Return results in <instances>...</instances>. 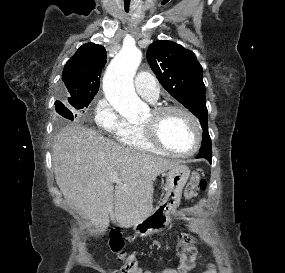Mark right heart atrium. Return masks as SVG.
Returning <instances> with one entry per match:
<instances>
[{
	"mask_svg": "<svg viewBox=\"0 0 285 273\" xmlns=\"http://www.w3.org/2000/svg\"><path fill=\"white\" fill-rule=\"evenodd\" d=\"M97 128L118 139L131 128V124L105 99H100L94 110Z\"/></svg>",
	"mask_w": 285,
	"mask_h": 273,
	"instance_id": "obj_1",
	"label": "right heart atrium"
}]
</instances>
